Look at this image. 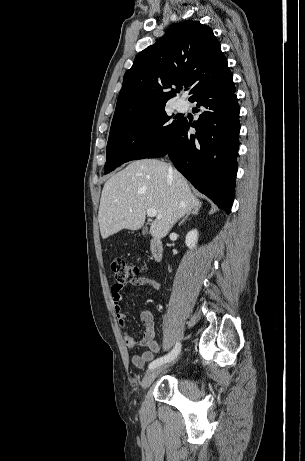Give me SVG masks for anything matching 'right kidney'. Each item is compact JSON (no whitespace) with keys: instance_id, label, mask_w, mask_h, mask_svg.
Here are the masks:
<instances>
[{"instance_id":"ca27d5eb","label":"right kidney","mask_w":305,"mask_h":461,"mask_svg":"<svg viewBox=\"0 0 305 461\" xmlns=\"http://www.w3.org/2000/svg\"><path fill=\"white\" fill-rule=\"evenodd\" d=\"M198 241V232L196 229L191 230L187 233L185 243L190 249L195 248Z\"/></svg>"}]
</instances>
